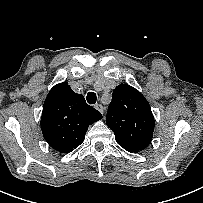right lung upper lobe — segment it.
Segmentation results:
<instances>
[{
  "label": "right lung upper lobe",
  "instance_id": "obj_1",
  "mask_svg": "<svg viewBox=\"0 0 203 203\" xmlns=\"http://www.w3.org/2000/svg\"><path fill=\"white\" fill-rule=\"evenodd\" d=\"M100 119L101 113L63 82L48 93L40 123L46 142L60 153H69L84 141L89 125Z\"/></svg>",
  "mask_w": 203,
  "mask_h": 203
}]
</instances>
